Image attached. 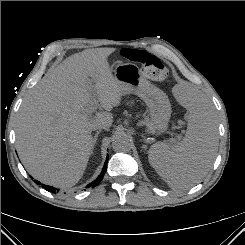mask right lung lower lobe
Returning <instances> with one entry per match:
<instances>
[{
  "mask_svg": "<svg viewBox=\"0 0 245 245\" xmlns=\"http://www.w3.org/2000/svg\"><path fill=\"white\" fill-rule=\"evenodd\" d=\"M107 161H108V157H107V160H106V162H105V164H104V167H103V169H102L101 174L97 177V179H96L94 182L88 184V185H87L88 187H90V186L95 187V186L98 185V184L100 183V181L103 179V176H104V174H105V172H106V168H107ZM37 183H39V182H37ZM42 187H44L47 191H56V190H57L56 188H54V187H52V186H48V185H44V184L42 185Z\"/></svg>",
  "mask_w": 245,
  "mask_h": 245,
  "instance_id": "right-lung-lower-lobe-1",
  "label": "right lung lower lobe"
}]
</instances>
